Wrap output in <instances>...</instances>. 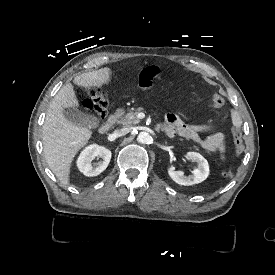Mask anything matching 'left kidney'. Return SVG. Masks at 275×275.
<instances>
[{
    "label": "left kidney",
    "instance_id": "1",
    "mask_svg": "<svg viewBox=\"0 0 275 275\" xmlns=\"http://www.w3.org/2000/svg\"><path fill=\"white\" fill-rule=\"evenodd\" d=\"M184 157L190 161L197 162V169L194 170L192 175L186 176L184 171H176L174 168L167 166L168 176L179 185L190 186L201 183L209 174V166L207 160L199 153L186 152Z\"/></svg>",
    "mask_w": 275,
    "mask_h": 275
}]
</instances>
